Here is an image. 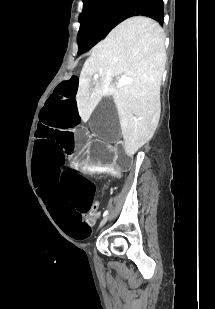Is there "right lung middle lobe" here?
I'll list each match as a JSON object with an SVG mask.
<instances>
[{"label": "right lung middle lobe", "mask_w": 215, "mask_h": 309, "mask_svg": "<svg viewBox=\"0 0 215 309\" xmlns=\"http://www.w3.org/2000/svg\"><path fill=\"white\" fill-rule=\"evenodd\" d=\"M130 0H83L78 54L92 48L115 27V22Z\"/></svg>", "instance_id": "dd1d6c3e"}]
</instances>
